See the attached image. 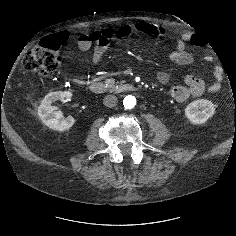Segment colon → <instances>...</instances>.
Instances as JSON below:
<instances>
[{"label":"colon","mask_w":236,"mask_h":236,"mask_svg":"<svg viewBox=\"0 0 236 236\" xmlns=\"http://www.w3.org/2000/svg\"><path fill=\"white\" fill-rule=\"evenodd\" d=\"M102 36L111 39L112 33L105 31L103 33H94L92 39L97 41ZM63 44L57 36L45 38L39 46L31 50L23 59L22 68L26 72L39 75H49L57 70L61 63L59 53L60 46Z\"/></svg>","instance_id":"5ec220e1"}]
</instances>
